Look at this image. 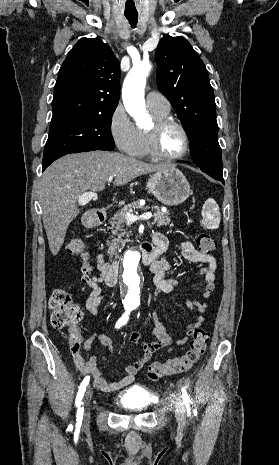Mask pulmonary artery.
<instances>
[{"label":"pulmonary artery","mask_w":279,"mask_h":465,"mask_svg":"<svg viewBox=\"0 0 279 465\" xmlns=\"http://www.w3.org/2000/svg\"><path fill=\"white\" fill-rule=\"evenodd\" d=\"M146 105L150 109L158 110L161 112L170 111V103L168 99L161 93L151 91L146 96Z\"/></svg>","instance_id":"e3ab8cb5"}]
</instances>
